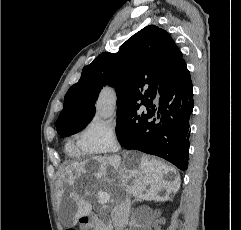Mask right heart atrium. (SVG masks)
<instances>
[{
    "label": "right heart atrium",
    "instance_id": "right-heart-atrium-1",
    "mask_svg": "<svg viewBox=\"0 0 241 230\" xmlns=\"http://www.w3.org/2000/svg\"><path fill=\"white\" fill-rule=\"evenodd\" d=\"M85 152L90 154L113 153L120 149V138L116 126L109 121L91 123L79 140Z\"/></svg>",
    "mask_w": 241,
    "mask_h": 230
}]
</instances>
